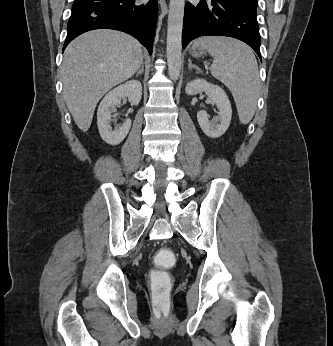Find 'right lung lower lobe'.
<instances>
[{"instance_id": "98d812e1", "label": "right lung lower lobe", "mask_w": 333, "mask_h": 346, "mask_svg": "<svg viewBox=\"0 0 333 346\" xmlns=\"http://www.w3.org/2000/svg\"><path fill=\"white\" fill-rule=\"evenodd\" d=\"M156 11L157 2L153 0H75L63 51L84 32L114 29L135 37L151 54Z\"/></svg>"}]
</instances>
